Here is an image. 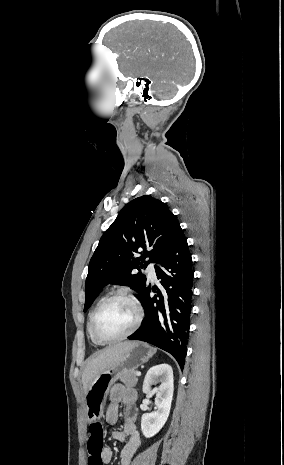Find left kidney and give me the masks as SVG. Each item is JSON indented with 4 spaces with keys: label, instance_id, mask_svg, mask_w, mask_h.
Instances as JSON below:
<instances>
[{
    "label": "left kidney",
    "instance_id": "left-kidney-1",
    "mask_svg": "<svg viewBox=\"0 0 284 465\" xmlns=\"http://www.w3.org/2000/svg\"><path fill=\"white\" fill-rule=\"evenodd\" d=\"M161 383L156 391H151V385ZM173 371L170 365H156L149 369L143 383V393L154 395L157 411L145 413L141 417V431L144 437H154L164 427L170 413L173 399Z\"/></svg>",
    "mask_w": 284,
    "mask_h": 465
}]
</instances>
